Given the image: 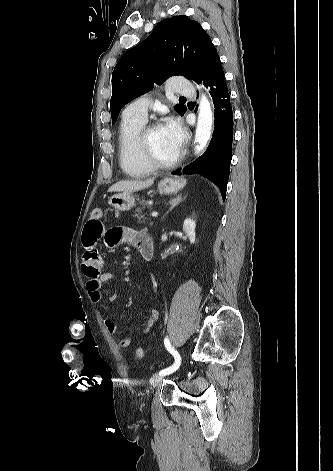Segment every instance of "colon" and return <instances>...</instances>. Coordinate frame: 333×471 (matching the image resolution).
Returning <instances> with one entry per match:
<instances>
[{"instance_id":"colon-1","label":"colon","mask_w":333,"mask_h":471,"mask_svg":"<svg viewBox=\"0 0 333 471\" xmlns=\"http://www.w3.org/2000/svg\"><path fill=\"white\" fill-rule=\"evenodd\" d=\"M91 218L93 219H99L102 217V210L100 208H95L92 212H91ZM135 354L138 358H141L143 355H144V350L142 347H137L136 348V351H135Z\"/></svg>"}]
</instances>
